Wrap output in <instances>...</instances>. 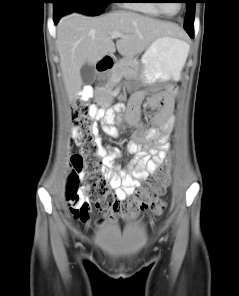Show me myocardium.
<instances>
[{
	"instance_id": "myocardium-1",
	"label": "myocardium",
	"mask_w": 239,
	"mask_h": 296,
	"mask_svg": "<svg viewBox=\"0 0 239 296\" xmlns=\"http://www.w3.org/2000/svg\"><path fill=\"white\" fill-rule=\"evenodd\" d=\"M153 1L155 2V6L158 8V10H159L162 14H165V15H168V16H171V15L174 14V13H173V14L168 13V12L164 9L162 3L159 2V0H153ZM180 6H181V3H179V9H180ZM179 9H178V11H179ZM176 13H177V12H176Z\"/></svg>"
}]
</instances>
